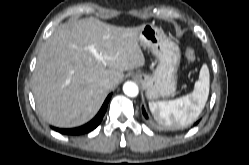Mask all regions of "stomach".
<instances>
[{
  "mask_svg": "<svg viewBox=\"0 0 249 165\" xmlns=\"http://www.w3.org/2000/svg\"><path fill=\"white\" fill-rule=\"evenodd\" d=\"M138 42L157 59L153 74L137 72L133 75L145 89L146 97L154 101L160 97L173 96L177 88V71L180 65V49L154 24L142 25Z\"/></svg>",
  "mask_w": 249,
  "mask_h": 165,
  "instance_id": "0dacf381",
  "label": "stomach"
}]
</instances>
